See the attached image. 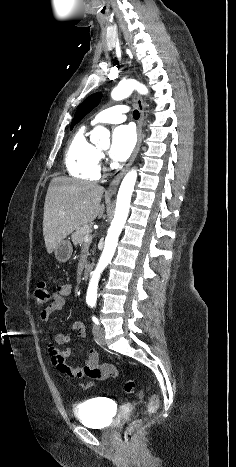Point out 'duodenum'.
<instances>
[{
	"label": "duodenum",
	"instance_id": "1",
	"mask_svg": "<svg viewBox=\"0 0 236 467\" xmlns=\"http://www.w3.org/2000/svg\"><path fill=\"white\" fill-rule=\"evenodd\" d=\"M91 271H92V264H87L83 269L82 279L87 280L91 274Z\"/></svg>",
	"mask_w": 236,
	"mask_h": 467
}]
</instances>
